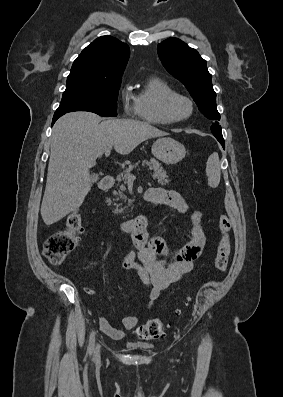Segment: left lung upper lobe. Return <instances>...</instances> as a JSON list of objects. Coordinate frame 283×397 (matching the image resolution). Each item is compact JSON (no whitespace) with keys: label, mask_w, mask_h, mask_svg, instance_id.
<instances>
[{"label":"left lung upper lobe","mask_w":283,"mask_h":397,"mask_svg":"<svg viewBox=\"0 0 283 397\" xmlns=\"http://www.w3.org/2000/svg\"><path fill=\"white\" fill-rule=\"evenodd\" d=\"M157 52L165 69L185 85L204 116L220 120L212 75L199 53L178 38L163 41L157 46ZM210 129L213 134L222 135L221 126L217 122Z\"/></svg>","instance_id":"5c2ea615"}]
</instances>
